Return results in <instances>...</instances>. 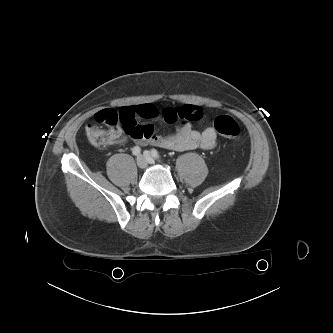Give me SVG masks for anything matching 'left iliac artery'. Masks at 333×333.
Wrapping results in <instances>:
<instances>
[{"label":"left iliac artery","instance_id":"1","mask_svg":"<svg viewBox=\"0 0 333 333\" xmlns=\"http://www.w3.org/2000/svg\"><path fill=\"white\" fill-rule=\"evenodd\" d=\"M151 155L155 158V159H159L160 156H159V153L156 149H152L151 150Z\"/></svg>","mask_w":333,"mask_h":333}]
</instances>
